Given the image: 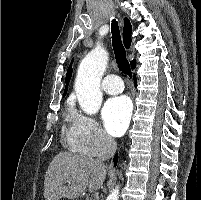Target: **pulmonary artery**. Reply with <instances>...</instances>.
Listing matches in <instances>:
<instances>
[{"label": "pulmonary artery", "instance_id": "e3ab8cb5", "mask_svg": "<svg viewBox=\"0 0 201 200\" xmlns=\"http://www.w3.org/2000/svg\"><path fill=\"white\" fill-rule=\"evenodd\" d=\"M102 89L108 94H119L124 90V86L118 75L109 74L102 81Z\"/></svg>", "mask_w": 201, "mask_h": 200}]
</instances>
